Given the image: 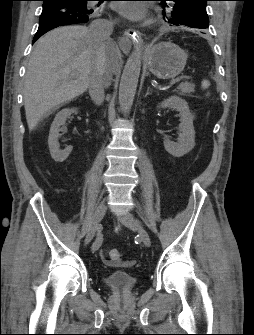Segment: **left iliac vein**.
<instances>
[{
    "label": "left iliac vein",
    "mask_w": 254,
    "mask_h": 335,
    "mask_svg": "<svg viewBox=\"0 0 254 335\" xmlns=\"http://www.w3.org/2000/svg\"><path fill=\"white\" fill-rule=\"evenodd\" d=\"M119 222L125 226L130 227L133 230H136L139 233V236L146 247L151 246V239L146 230L141 227L129 213H125L118 218Z\"/></svg>",
    "instance_id": "left-iliac-vein-1"
}]
</instances>
